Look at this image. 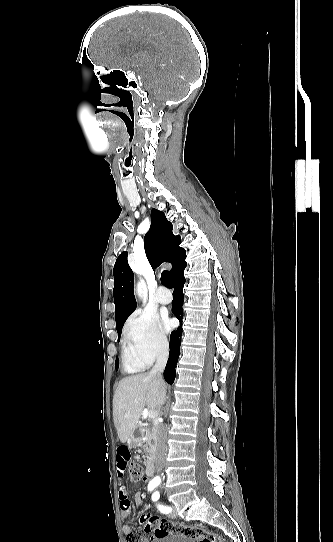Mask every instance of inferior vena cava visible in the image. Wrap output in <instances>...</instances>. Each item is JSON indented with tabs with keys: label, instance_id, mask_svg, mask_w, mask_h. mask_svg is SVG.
Returning a JSON list of instances; mask_svg holds the SVG:
<instances>
[{
	"label": "inferior vena cava",
	"instance_id": "obj_1",
	"mask_svg": "<svg viewBox=\"0 0 333 542\" xmlns=\"http://www.w3.org/2000/svg\"><path fill=\"white\" fill-rule=\"evenodd\" d=\"M167 360H168V346H164V348L160 350L157 356L156 364L155 366H153L151 372H149V376H156L158 380H162L163 382L162 372H164V368L167 364ZM165 400H166L165 390H163V392L159 394V398H158V410H157L158 414H160V408L161 406H163V404H165ZM157 438L158 440H157L155 468H156L157 474H160L163 468V464L165 460V452H166V430L163 424H158L157 426Z\"/></svg>",
	"mask_w": 333,
	"mask_h": 542
}]
</instances>
